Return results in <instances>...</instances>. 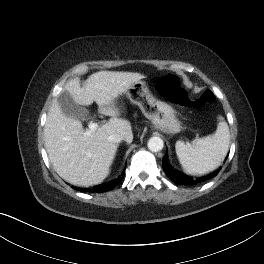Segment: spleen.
<instances>
[{"instance_id":"1","label":"spleen","mask_w":264,"mask_h":264,"mask_svg":"<svg viewBox=\"0 0 264 264\" xmlns=\"http://www.w3.org/2000/svg\"><path fill=\"white\" fill-rule=\"evenodd\" d=\"M215 134L185 144L178 140L176 154L183 170L188 174L199 175L214 171L224 161L230 143L229 127L222 116Z\"/></svg>"}]
</instances>
